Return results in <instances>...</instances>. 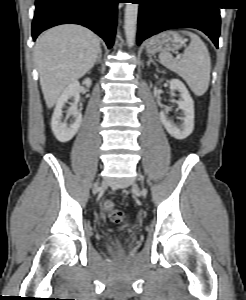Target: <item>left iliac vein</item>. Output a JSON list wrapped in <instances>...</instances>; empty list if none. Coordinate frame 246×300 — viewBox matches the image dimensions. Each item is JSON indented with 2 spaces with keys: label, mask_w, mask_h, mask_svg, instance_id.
I'll use <instances>...</instances> for the list:
<instances>
[{
  "label": "left iliac vein",
  "mask_w": 246,
  "mask_h": 300,
  "mask_svg": "<svg viewBox=\"0 0 246 300\" xmlns=\"http://www.w3.org/2000/svg\"><path fill=\"white\" fill-rule=\"evenodd\" d=\"M141 194L142 195H145L146 194V191H145V189L142 187V189H141Z\"/></svg>",
  "instance_id": "obj_1"
}]
</instances>
